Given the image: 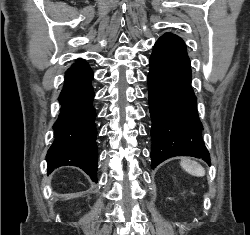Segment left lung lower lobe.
Returning <instances> with one entry per match:
<instances>
[{
  "label": "left lung lower lobe",
  "mask_w": 250,
  "mask_h": 235,
  "mask_svg": "<svg viewBox=\"0 0 250 235\" xmlns=\"http://www.w3.org/2000/svg\"><path fill=\"white\" fill-rule=\"evenodd\" d=\"M149 64L151 167L174 156L201 158L210 165V155L201 135L185 43L172 33L164 34L155 43Z\"/></svg>",
  "instance_id": "1"
}]
</instances>
